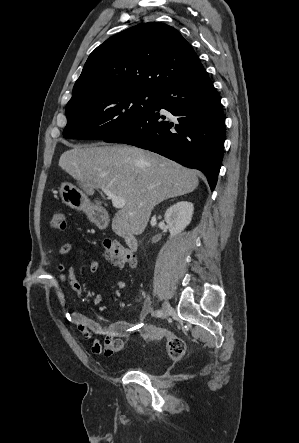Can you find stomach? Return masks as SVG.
<instances>
[{"label":"stomach","instance_id":"1","mask_svg":"<svg viewBox=\"0 0 299 443\" xmlns=\"http://www.w3.org/2000/svg\"><path fill=\"white\" fill-rule=\"evenodd\" d=\"M59 191L65 204L73 209L84 211L94 223L102 226L101 222L94 215V207L80 189L71 183L64 182L61 184Z\"/></svg>","mask_w":299,"mask_h":443}]
</instances>
